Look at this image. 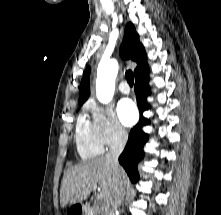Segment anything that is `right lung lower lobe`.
I'll list each match as a JSON object with an SVG mask.
<instances>
[{
	"label": "right lung lower lobe",
	"mask_w": 221,
	"mask_h": 215,
	"mask_svg": "<svg viewBox=\"0 0 221 215\" xmlns=\"http://www.w3.org/2000/svg\"><path fill=\"white\" fill-rule=\"evenodd\" d=\"M134 90L140 111V121L131 129L128 142L119 157V163L124 167L132 182L138 180L137 164L144 156L143 146L148 140V135L142 131V127L149 124L148 119L142 115V113L149 108L146 97L150 94V89L146 75L135 79Z\"/></svg>",
	"instance_id": "obj_1"
}]
</instances>
